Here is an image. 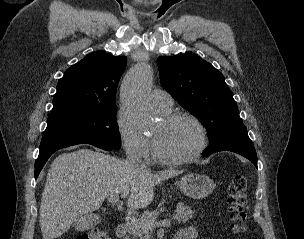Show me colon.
<instances>
[{
  "label": "colon",
  "mask_w": 304,
  "mask_h": 239,
  "mask_svg": "<svg viewBox=\"0 0 304 239\" xmlns=\"http://www.w3.org/2000/svg\"><path fill=\"white\" fill-rule=\"evenodd\" d=\"M227 201L232 230L243 234L246 230L247 180L243 175L234 176L227 188ZM77 239H110L105 230L92 229L77 237Z\"/></svg>",
  "instance_id": "5ec220e1"
}]
</instances>
